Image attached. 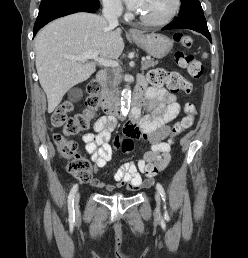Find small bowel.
Wrapping results in <instances>:
<instances>
[{"label":"small bowel","mask_w":248,"mask_h":258,"mask_svg":"<svg viewBox=\"0 0 248 258\" xmlns=\"http://www.w3.org/2000/svg\"><path fill=\"white\" fill-rule=\"evenodd\" d=\"M140 81L146 85L143 77ZM144 97L141 98L140 108L133 117L125 124V134L133 140L149 143L143 157L135 164L133 162L123 163L114 173L115 185L105 184L94 180L93 186L113 191L115 188L127 187L138 190L144 187H154V179L146 177L142 179L141 174L146 168L157 164V170H163L170 161V149L172 139L169 138L171 122L178 116L180 105L173 93L162 86H150L143 90ZM146 110L147 114H142ZM116 127V120L110 116L98 118L94 125V132L86 133L82 139L85 149L91 156V160L98 168H103L112 157V149L109 144L111 132Z\"/></svg>","instance_id":"obj_1"}]
</instances>
